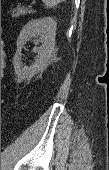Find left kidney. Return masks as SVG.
I'll list each match as a JSON object with an SVG mask.
<instances>
[{
    "label": "left kidney",
    "instance_id": "obj_1",
    "mask_svg": "<svg viewBox=\"0 0 109 170\" xmlns=\"http://www.w3.org/2000/svg\"><path fill=\"white\" fill-rule=\"evenodd\" d=\"M56 28L57 22L52 17L32 19L22 28L17 39V51L13 58L16 74L19 76L36 74L46 67L55 50ZM32 38L36 43L40 42L41 46L33 49L37 55L34 61L26 66L22 63V48Z\"/></svg>",
    "mask_w": 109,
    "mask_h": 170
}]
</instances>
